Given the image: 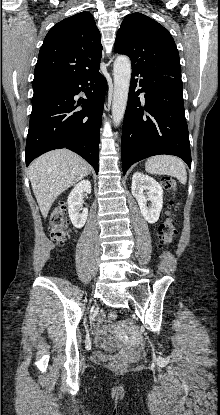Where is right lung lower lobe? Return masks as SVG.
Instances as JSON below:
<instances>
[{"mask_svg": "<svg viewBox=\"0 0 220 415\" xmlns=\"http://www.w3.org/2000/svg\"><path fill=\"white\" fill-rule=\"evenodd\" d=\"M81 91L87 99L75 101L74 96ZM105 93L106 79L96 71L66 83L59 94L32 103L26 166L45 152L67 148L82 156L98 173Z\"/></svg>", "mask_w": 220, "mask_h": 415, "instance_id": "obj_1", "label": "right lung lower lobe"}]
</instances>
